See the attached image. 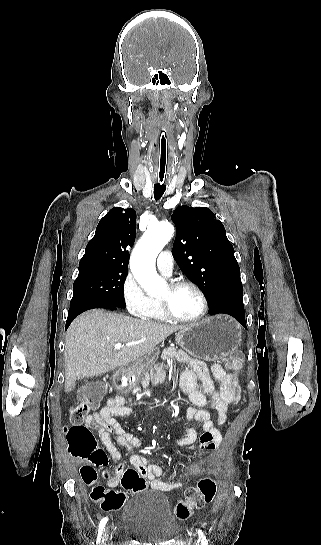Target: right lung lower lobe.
<instances>
[{"label":"right lung lower lobe","mask_w":321,"mask_h":545,"mask_svg":"<svg viewBox=\"0 0 321 545\" xmlns=\"http://www.w3.org/2000/svg\"><path fill=\"white\" fill-rule=\"evenodd\" d=\"M125 304H108V303H91V302H82L74 305L73 307H70L68 311V318L66 321V328L70 325V323L82 312L93 309V308H106V309H119V308H125Z\"/></svg>","instance_id":"1"}]
</instances>
